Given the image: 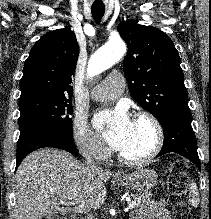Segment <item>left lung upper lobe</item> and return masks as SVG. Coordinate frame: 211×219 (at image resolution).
Listing matches in <instances>:
<instances>
[{
  "mask_svg": "<svg viewBox=\"0 0 211 219\" xmlns=\"http://www.w3.org/2000/svg\"><path fill=\"white\" fill-rule=\"evenodd\" d=\"M128 46L123 71L134 100L160 124L173 112H189L179 54L162 31L131 21L118 25Z\"/></svg>",
  "mask_w": 211,
  "mask_h": 219,
  "instance_id": "5c2ea615",
  "label": "left lung upper lobe"
}]
</instances>
